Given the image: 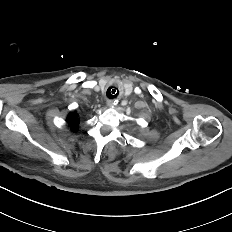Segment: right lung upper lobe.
I'll return each mask as SVG.
<instances>
[{
    "label": "right lung upper lobe",
    "mask_w": 232,
    "mask_h": 232,
    "mask_svg": "<svg viewBox=\"0 0 232 232\" xmlns=\"http://www.w3.org/2000/svg\"><path fill=\"white\" fill-rule=\"evenodd\" d=\"M67 122L68 125L71 127V129L73 131H75L78 127L79 124V119H78V115L77 113H71L68 117H67Z\"/></svg>",
    "instance_id": "cb5924a9"
}]
</instances>
